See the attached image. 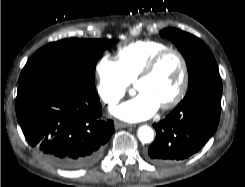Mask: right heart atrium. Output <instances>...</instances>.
I'll return each instance as SVG.
<instances>
[{
  "mask_svg": "<svg viewBox=\"0 0 245 187\" xmlns=\"http://www.w3.org/2000/svg\"><path fill=\"white\" fill-rule=\"evenodd\" d=\"M95 72L100 100L108 106L117 104L126 94L130 84L117 61L109 55H104L97 61Z\"/></svg>",
  "mask_w": 245,
  "mask_h": 187,
  "instance_id": "d8ad5b80",
  "label": "right heart atrium"
}]
</instances>
